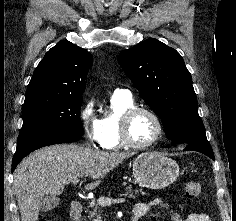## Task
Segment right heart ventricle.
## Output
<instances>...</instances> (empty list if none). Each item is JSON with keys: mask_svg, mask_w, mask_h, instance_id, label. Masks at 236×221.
Wrapping results in <instances>:
<instances>
[{"mask_svg": "<svg viewBox=\"0 0 236 221\" xmlns=\"http://www.w3.org/2000/svg\"><path fill=\"white\" fill-rule=\"evenodd\" d=\"M135 106L132 97L117 96L111 97L110 109L100 119L102 134V147L107 150H118L123 148L119 136V123L122 114L129 108Z\"/></svg>", "mask_w": 236, "mask_h": 221, "instance_id": "right-heart-ventricle-1", "label": "right heart ventricle"}]
</instances>
